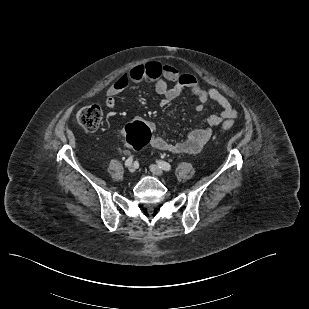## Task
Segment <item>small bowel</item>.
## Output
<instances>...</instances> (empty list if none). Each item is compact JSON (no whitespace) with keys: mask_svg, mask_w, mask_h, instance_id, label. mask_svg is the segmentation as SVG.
Wrapping results in <instances>:
<instances>
[{"mask_svg":"<svg viewBox=\"0 0 309 309\" xmlns=\"http://www.w3.org/2000/svg\"><path fill=\"white\" fill-rule=\"evenodd\" d=\"M150 82L155 92L163 97L162 103L167 104L179 97L184 91H188L197 99L196 110H203L205 104L212 100L216 102L222 111L210 116L202 127L191 130L186 139L176 143H170L164 138L152 135L149 144L158 150L171 153H199L210 140L213 128L224 121H231L237 117V111L233 108L229 99L216 88L204 89L198 79L191 74L181 75L177 69L169 65H161L157 62H149L137 65L115 80L106 90L105 104L108 108L116 106V96L127 88L130 83ZM172 82V85L168 84ZM140 121L133 120L132 122ZM143 122V121H142ZM151 132L155 126L151 122H144ZM123 134H126L123 132ZM128 148H132L128 142Z\"/></svg>","mask_w":309,"mask_h":309,"instance_id":"1","label":"small bowel"}]
</instances>
